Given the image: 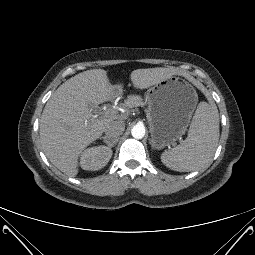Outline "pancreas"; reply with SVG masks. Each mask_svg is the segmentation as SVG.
<instances>
[{"label": "pancreas", "mask_w": 255, "mask_h": 255, "mask_svg": "<svg viewBox=\"0 0 255 255\" xmlns=\"http://www.w3.org/2000/svg\"><path fill=\"white\" fill-rule=\"evenodd\" d=\"M128 107H138L144 105L143 99L139 95H130L125 101Z\"/></svg>", "instance_id": "pancreas-1"}]
</instances>
